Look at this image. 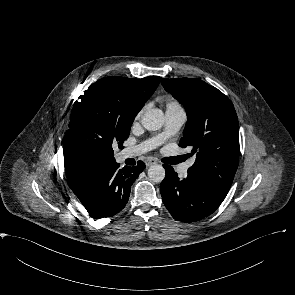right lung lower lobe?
<instances>
[{
    "mask_svg": "<svg viewBox=\"0 0 295 295\" xmlns=\"http://www.w3.org/2000/svg\"><path fill=\"white\" fill-rule=\"evenodd\" d=\"M145 167L142 161L123 169L116 161L94 164L70 188L92 218L112 217L124 209L131 185Z\"/></svg>",
    "mask_w": 295,
    "mask_h": 295,
    "instance_id": "right-lung-lower-lobe-1",
    "label": "right lung lower lobe"
}]
</instances>
